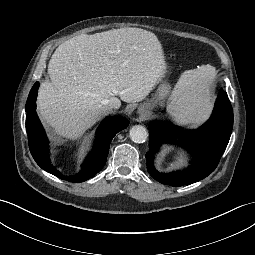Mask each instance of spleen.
I'll list each match as a JSON object with an SVG mask.
<instances>
[{"label":"spleen","mask_w":255,"mask_h":255,"mask_svg":"<svg viewBox=\"0 0 255 255\" xmlns=\"http://www.w3.org/2000/svg\"><path fill=\"white\" fill-rule=\"evenodd\" d=\"M215 78L216 69L211 65L182 73L167 104V112L176 123L196 125L208 118Z\"/></svg>","instance_id":"spleen-1"}]
</instances>
